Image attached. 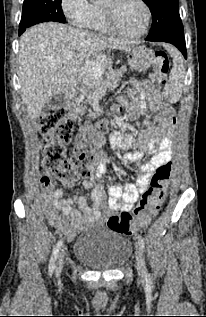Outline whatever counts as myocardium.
Listing matches in <instances>:
<instances>
[{
  "instance_id": "f54148a6",
  "label": "myocardium",
  "mask_w": 206,
  "mask_h": 317,
  "mask_svg": "<svg viewBox=\"0 0 206 317\" xmlns=\"http://www.w3.org/2000/svg\"><path fill=\"white\" fill-rule=\"evenodd\" d=\"M116 2H118V0H106L104 3L101 4L104 19L109 31L115 35H118L123 38H128V39L140 38V37H143L145 34H147L151 25V21H152V12L147 2L145 0H137V2L141 4V6L143 7L145 11L146 20H145L143 29L134 34L125 33L121 31L116 25L115 18H114V3Z\"/></svg>"
}]
</instances>
